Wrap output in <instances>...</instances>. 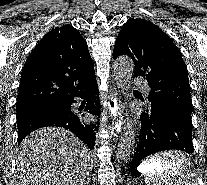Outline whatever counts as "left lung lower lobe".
Returning a JSON list of instances; mask_svg holds the SVG:
<instances>
[{"instance_id":"left-lung-lower-lobe-1","label":"left lung lower lobe","mask_w":207,"mask_h":185,"mask_svg":"<svg viewBox=\"0 0 207 185\" xmlns=\"http://www.w3.org/2000/svg\"><path fill=\"white\" fill-rule=\"evenodd\" d=\"M144 102L143 97L137 96ZM142 129L139 142L130 165L134 169L140 161L157 152L181 150L193 153L191 122L167 106L145 103L141 114Z\"/></svg>"}]
</instances>
